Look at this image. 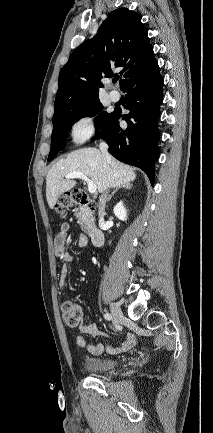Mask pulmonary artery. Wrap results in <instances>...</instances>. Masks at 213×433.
Masks as SVG:
<instances>
[{
    "mask_svg": "<svg viewBox=\"0 0 213 433\" xmlns=\"http://www.w3.org/2000/svg\"><path fill=\"white\" fill-rule=\"evenodd\" d=\"M110 99L114 102H117L120 99V93L116 90H112L109 93Z\"/></svg>",
    "mask_w": 213,
    "mask_h": 433,
    "instance_id": "obj_1",
    "label": "pulmonary artery"
}]
</instances>
